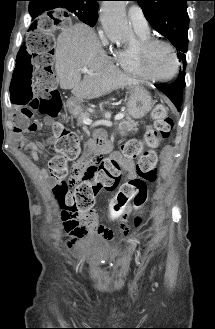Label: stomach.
<instances>
[{
	"instance_id": "stomach-1",
	"label": "stomach",
	"mask_w": 215,
	"mask_h": 329,
	"mask_svg": "<svg viewBox=\"0 0 215 329\" xmlns=\"http://www.w3.org/2000/svg\"><path fill=\"white\" fill-rule=\"evenodd\" d=\"M154 102L150 93L140 86H129V98L126 104L129 116L141 119L153 108ZM70 113L78 114L82 111L79 99H70L67 102Z\"/></svg>"
}]
</instances>
